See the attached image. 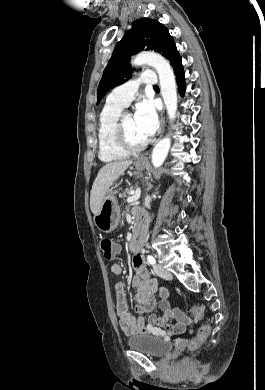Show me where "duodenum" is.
<instances>
[{
	"instance_id": "410a0bca",
	"label": "duodenum",
	"mask_w": 265,
	"mask_h": 390,
	"mask_svg": "<svg viewBox=\"0 0 265 390\" xmlns=\"http://www.w3.org/2000/svg\"><path fill=\"white\" fill-rule=\"evenodd\" d=\"M144 215H137L133 228V235L129 242V247L133 250H140L146 238L147 220Z\"/></svg>"
}]
</instances>
